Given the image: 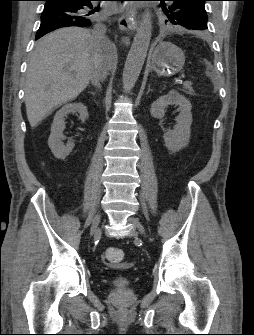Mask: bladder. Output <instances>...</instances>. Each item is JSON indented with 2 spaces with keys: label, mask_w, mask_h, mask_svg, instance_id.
<instances>
[{
  "label": "bladder",
  "mask_w": 254,
  "mask_h": 335,
  "mask_svg": "<svg viewBox=\"0 0 254 335\" xmlns=\"http://www.w3.org/2000/svg\"><path fill=\"white\" fill-rule=\"evenodd\" d=\"M111 284L117 290H125L130 284V276L125 272H116L111 279Z\"/></svg>",
  "instance_id": "31cf9c89"
}]
</instances>
